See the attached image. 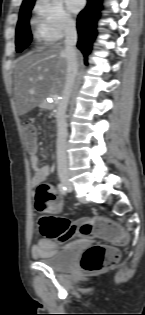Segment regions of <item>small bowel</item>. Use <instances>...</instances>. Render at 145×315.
Returning <instances> with one entry per match:
<instances>
[{
	"instance_id": "1",
	"label": "small bowel",
	"mask_w": 145,
	"mask_h": 315,
	"mask_svg": "<svg viewBox=\"0 0 145 315\" xmlns=\"http://www.w3.org/2000/svg\"><path fill=\"white\" fill-rule=\"evenodd\" d=\"M30 163L34 169V175L32 178V184L37 185L40 182L48 179L51 175L50 165H40L39 158L36 154L30 156ZM56 238L45 237L40 239L36 245L32 248V256L34 258H47L54 255L57 251Z\"/></svg>"
}]
</instances>
